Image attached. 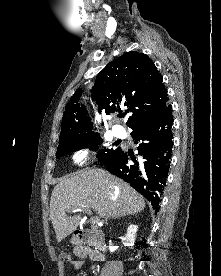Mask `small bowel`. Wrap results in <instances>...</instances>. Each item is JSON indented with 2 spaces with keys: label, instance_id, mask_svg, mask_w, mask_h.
<instances>
[{
  "label": "small bowel",
  "instance_id": "1",
  "mask_svg": "<svg viewBox=\"0 0 221 276\" xmlns=\"http://www.w3.org/2000/svg\"><path fill=\"white\" fill-rule=\"evenodd\" d=\"M74 255L76 260L72 261V265L75 269H79L82 266L83 259L89 258L91 261H102L103 256L97 253L95 250L87 247H76L74 249Z\"/></svg>",
  "mask_w": 221,
  "mask_h": 276
}]
</instances>
